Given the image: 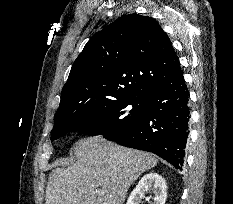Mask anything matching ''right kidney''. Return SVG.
I'll list each match as a JSON object with an SVG mask.
<instances>
[{
  "label": "right kidney",
  "mask_w": 233,
  "mask_h": 204,
  "mask_svg": "<svg viewBox=\"0 0 233 204\" xmlns=\"http://www.w3.org/2000/svg\"><path fill=\"white\" fill-rule=\"evenodd\" d=\"M165 179L155 172L144 175L131 192L126 204H140L145 193H153L152 204H165L167 197Z\"/></svg>",
  "instance_id": "obj_1"
}]
</instances>
